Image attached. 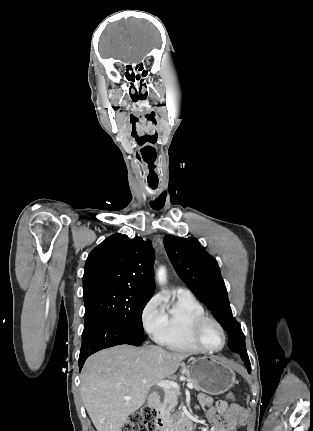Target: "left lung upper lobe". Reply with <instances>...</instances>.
<instances>
[{"label": "left lung upper lobe", "mask_w": 313, "mask_h": 431, "mask_svg": "<svg viewBox=\"0 0 313 431\" xmlns=\"http://www.w3.org/2000/svg\"><path fill=\"white\" fill-rule=\"evenodd\" d=\"M164 246L180 278L228 332V347L241 355L250 372L245 336L232 315L227 290L215 258L195 238L166 235Z\"/></svg>", "instance_id": "5c2ea615"}]
</instances>
